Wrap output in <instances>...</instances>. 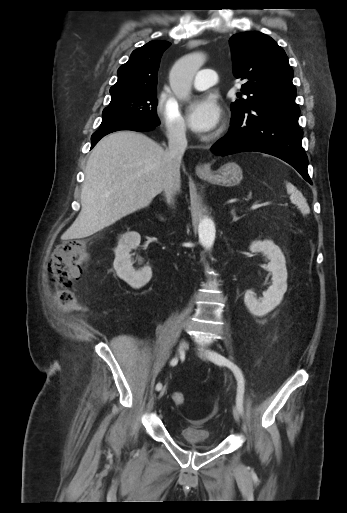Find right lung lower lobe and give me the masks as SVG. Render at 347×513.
Masks as SVG:
<instances>
[{
    "instance_id": "98d812e1",
    "label": "right lung lower lobe",
    "mask_w": 347,
    "mask_h": 513,
    "mask_svg": "<svg viewBox=\"0 0 347 513\" xmlns=\"http://www.w3.org/2000/svg\"><path fill=\"white\" fill-rule=\"evenodd\" d=\"M154 127L152 126H146L139 123H119L110 125L107 127L100 128L98 131H96L92 137H91V148L95 146V144L105 135L119 131V130H133V131H149L152 130Z\"/></svg>"
}]
</instances>
